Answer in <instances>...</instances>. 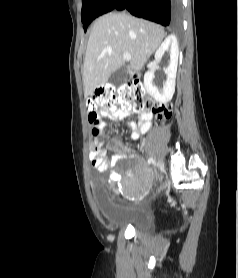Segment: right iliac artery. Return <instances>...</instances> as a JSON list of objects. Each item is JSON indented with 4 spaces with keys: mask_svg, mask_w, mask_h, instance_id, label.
<instances>
[{
    "mask_svg": "<svg viewBox=\"0 0 238 278\" xmlns=\"http://www.w3.org/2000/svg\"><path fill=\"white\" fill-rule=\"evenodd\" d=\"M150 163H154V159H153L152 157H150V158L148 159V164H150Z\"/></svg>",
    "mask_w": 238,
    "mask_h": 278,
    "instance_id": "obj_1",
    "label": "right iliac artery"
}]
</instances>
